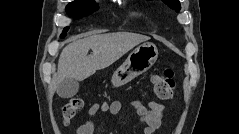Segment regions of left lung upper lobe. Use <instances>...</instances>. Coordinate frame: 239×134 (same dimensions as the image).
I'll return each instance as SVG.
<instances>
[{
  "label": "left lung upper lobe",
  "instance_id": "1",
  "mask_svg": "<svg viewBox=\"0 0 239 134\" xmlns=\"http://www.w3.org/2000/svg\"><path fill=\"white\" fill-rule=\"evenodd\" d=\"M170 8L176 10L177 12L181 9L179 0H163Z\"/></svg>",
  "mask_w": 239,
  "mask_h": 134
}]
</instances>
